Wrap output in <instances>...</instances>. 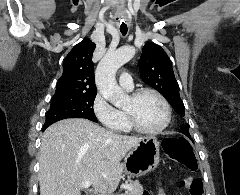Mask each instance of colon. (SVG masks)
<instances>
[{
  "label": "colon",
  "instance_id": "5ec220e1",
  "mask_svg": "<svg viewBox=\"0 0 240 195\" xmlns=\"http://www.w3.org/2000/svg\"><path fill=\"white\" fill-rule=\"evenodd\" d=\"M163 150L167 156L174 161L184 165L189 170H196L198 160L193 152L191 143L187 138L166 139L162 143ZM188 192L191 195H203V185L198 178H188ZM158 193H163V188H158Z\"/></svg>",
  "mask_w": 240,
  "mask_h": 195
}]
</instances>
